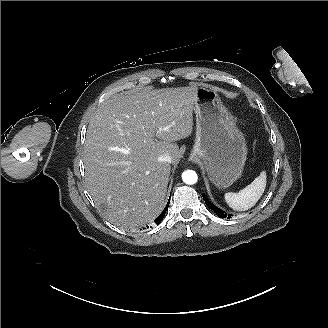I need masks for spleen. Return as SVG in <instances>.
<instances>
[{
	"mask_svg": "<svg viewBox=\"0 0 328 328\" xmlns=\"http://www.w3.org/2000/svg\"><path fill=\"white\" fill-rule=\"evenodd\" d=\"M265 186V173L262 172L251 184L247 185L237 193H226L224 198L227 204L234 210H248L259 200L264 192Z\"/></svg>",
	"mask_w": 328,
	"mask_h": 328,
	"instance_id": "1",
	"label": "spleen"
}]
</instances>
